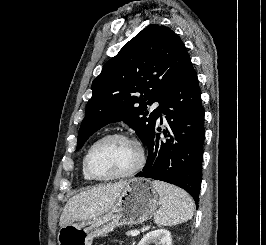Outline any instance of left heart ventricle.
<instances>
[{"label":"left heart ventricle","instance_id":"1","mask_svg":"<svg viewBox=\"0 0 266 245\" xmlns=\"http://www.w3.org/2000/svg\"><path fill=\"white\" fill-rule=\"evenodd\" d=\"M138 158L137 147L118 138L101 143L93 152L91 167L101 177H112L131 170Z\"/></svg>","mask_w":266,"mask_h":245}]
</instances>
